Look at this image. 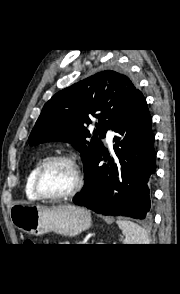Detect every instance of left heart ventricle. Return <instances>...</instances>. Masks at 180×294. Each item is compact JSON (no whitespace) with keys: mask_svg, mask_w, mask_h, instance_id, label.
Instances as JSON below:
<instances>
[{"mask_svg":"<svg viewBox=\"0 0 180 294\" xmlns=\"http://www.w3.org/2000/svg\"><path fill=\"white\" fill-rule=\"evenodd\" d=\"M76 183L73 168L63 162L51 165L41 178V189L47 195H59L70 191Z\"/></svg>","mask_w":180,"mask_h":294,"instance_id":"1","label":"left heart ventricle"}]
</instances>
